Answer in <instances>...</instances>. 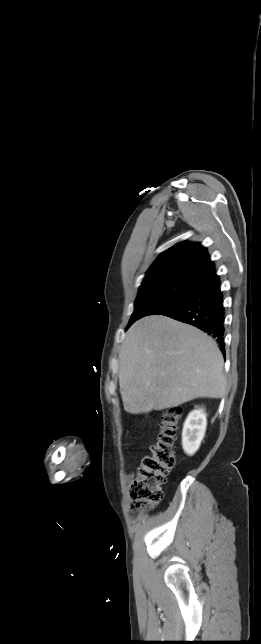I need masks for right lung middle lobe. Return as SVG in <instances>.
I'll return each mask as SVG.
<instances>
[{
  "mask_svg": "<svg viewBox=\"0 0 261 644\" xmlns=\"http://www.w3.org/2000/svg\"><path fill=\"white\" fill-rule=\"evenodd\" d=\"M199 283L180 278L159 280L140 286L134 302L135 309L128 326L153 314H162L184 302Z\"/></svg>",
  "mask_w": 261,
  "mask_h": 644,
  "instance_id": "right-lung-middle-lobe-1",
  "label": "right lung middle lobe"
}]
</instances>
